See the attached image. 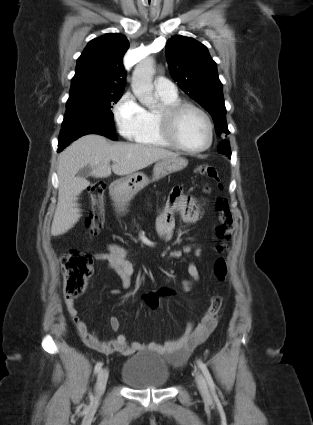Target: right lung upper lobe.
Here are the masks:
<instances>
[{"label":"right lung upper lobe","mask_w":313,"mask_h":425,"mask_svg":"<svg viewBox=\"0 0 313 425\" xmlns=\"http://www.w3.org/2000/svg\"><path fill=\"white\" fill-rule=\"evenodd\" d=\"M129 48L125 35L108 33L91 40L77 60L70 95L123 92V56Z\"/></svg>","instance_id":"obj_1"}]
</instances>
